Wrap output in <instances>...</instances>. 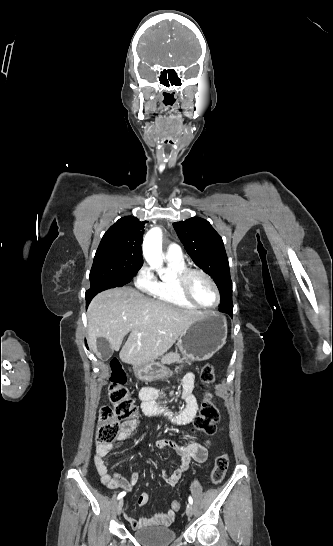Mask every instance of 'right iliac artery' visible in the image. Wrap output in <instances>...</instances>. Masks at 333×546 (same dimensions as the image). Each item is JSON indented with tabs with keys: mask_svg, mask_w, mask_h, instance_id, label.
Returning <instances> with one entry per match:
<instances>
[{
	"mask_svg": "<svg viewBox=\"0 0 333 546\" xmlns=\"http://www.w3.org/2000/svg\"><path fill=\"white\" fill-rule=\"evenodd\" d=\"M126 495V492H121L119 495H118V499H121L122 497H124Z\"/></svg>",
	"mask_w": 333,
	"mask_h": 546,
	"instance_id": "right-iliac-artery-1",
	"label": "right iliac artery"
}]
</instances>
